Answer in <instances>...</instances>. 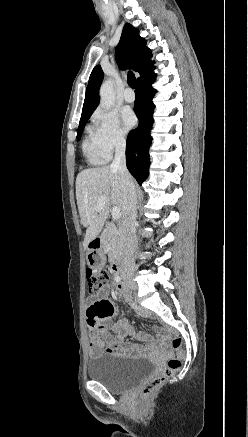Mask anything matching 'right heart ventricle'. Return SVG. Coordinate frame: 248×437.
<instances>
[{"label":"right heart ventricle","instance_id":"right-heart-ventricle-1","mask_svg":"<svg viewBox=\"0 0 248 437\" xmlns=\"http://www.w3.org/2000/svg\"><path fill=\"white\" fill-rule=\"evenodd\" d=\"M82 147H83L84 154L86 155L90 163L101 164L106 160V158H104L103 155L98 150V147L93 139L90 128L87 130V136L83 142Z\"/></svg>","mask_w":248,"mask_h":437}]
</instances>
